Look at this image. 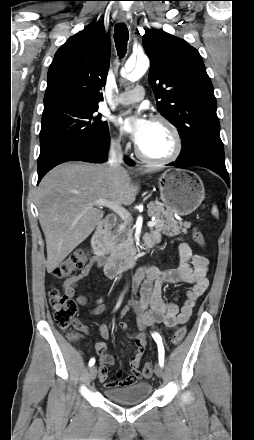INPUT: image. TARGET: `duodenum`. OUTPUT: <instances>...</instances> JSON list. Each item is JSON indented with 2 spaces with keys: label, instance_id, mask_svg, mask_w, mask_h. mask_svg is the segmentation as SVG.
<instances>
[{
  "label": "duodenum",
  "instance_id": "duodenum-1",
  "mask_svg": "<svg viewBox=\"0 0 254 440\" xmlns=\"http://www.w3.org/2000/svg\"><path fill=\"white\" fill-rule=\"evenodd\" d=\"M116 224V217L114 215H108L103 221H101L95 233L91 238V246L94 254L103 261L104 272L107 277L114 278L121 272L132 267L136 261V250L126 252L120 257L108 258V248L105 243V236ZM143 246H149L150 243L142 240Z\"/></svg>",
  "mask_w": 254,
  "mask_h": 440
}]
</instances>
